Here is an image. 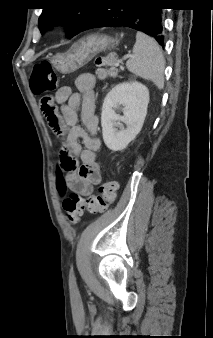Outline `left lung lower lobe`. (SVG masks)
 <instances>
[{
  "mask_svg": "<svg viewBox=\"0 0 213 338\" xmlns=\"http://www.w3.org/2000/svg\"><path fill=\"white\" fill-rule=\"evenodd\" d=\"M154 0H105L87 20L81 31L111 26H124L142 31L164 45V28L160 8ZM80 31V32H81Z\"/></svg>",
  "mask_w": 213,
  "mask_h": 338,
  "instance_id": "obj_1",
  "label": "left lung lower lobe"
}]
</instances>
